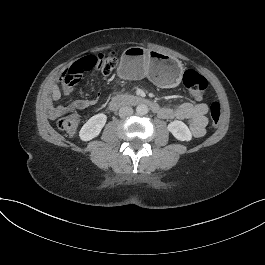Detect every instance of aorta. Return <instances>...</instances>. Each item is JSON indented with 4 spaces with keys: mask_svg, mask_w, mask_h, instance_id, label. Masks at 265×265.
<instances>
[{
    "mask_svg": "<svg viewBox=\"0 0 265 265\" xmlns=\"http://www.w3.org/2000/svg\"><path fill=\"white\" fill-rule=\"evenodd\" d=\"M136 113L137 115L143 116L146 115L148 113V107L145 104H139L136 107Z\"/></svg>",
    "mask_w": 265,
    "mask_h": 265,
    "instance_id": "1",
    "label": "aorta"
}]
</instances>
